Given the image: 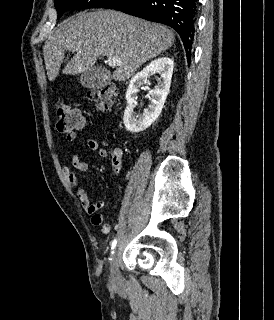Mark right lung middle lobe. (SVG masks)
Instances as JSON below:
<instances>
[{"label":"right lung middle lobe","mask_w":274,"mask_h":320,"mask_svg":"<svg viewBox=\"0 0 274 320\" xmlns=\"http://www.w3.org/2000/svg\"><path fill=\"white\" fill-rule=\"evenodd\" d=\"M111 0H55V8L60 18L65 11L73 9L101 8Z\"/></svg>","instance_id":"1"}]
</instances>
